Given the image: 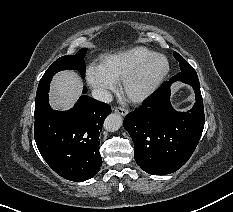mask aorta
Segmentation results:
<instances>
[{"instance_id":"1","label":"aorta","mask_w":233,"mask_h":212,"mask_svg":"<svg viewBox=\"0 0 233 212\" xmlns=\"http://www.w3.org/2000/svg\"><path fill=\"white\" fill-rule=\"evenodd\" d=\"M123 123V118L121 115L113 113L110 114L104 121V128L108 132L117 131Z\"/></svg>"}]
</instances>
